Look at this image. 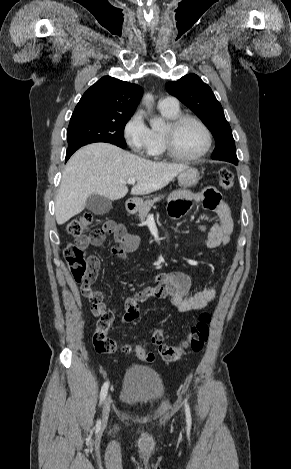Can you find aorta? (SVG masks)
Here are the masks:
<instances>
[{"instance_id": "obj_1", "label": "aorta", "mask_w": 291, "mask_h": 469, "mask_svg": "<svg viewBox=\"0 0 291 469\" xmlns=\"http://www.w3.org/2000/svg\"><path fill=\"white\" fill-rule=\"evenodd\" d=\"M153 96L151 94L144 95V103L148 107V109L152 108ZM164 125V121L161 118L150 120V126L152 128H159Z\"/></svg>"}]
</instances>
